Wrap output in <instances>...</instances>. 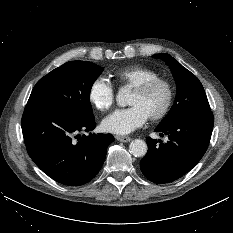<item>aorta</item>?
Segmentation results:
<instances>
[{
  "label": "aorta",
  "instance_id": "762f6f07",
  "mask_svg": "<svg viewBox=\"0 0 233 233\" xmlns=\"http://www.w3.org/2000/svg\"><path fill=\"white\" fill-rule=\"evenodd\" d=\"M128 91L127 89H121L116 97L117 104L120 106H125L127 101ZM130 153L135 157H143L147 153V144L141 139H135L131 141L129 145Z\"/></svg>",
  "mask_w": 233,
  "mask_h": 233
}]
</instances>
